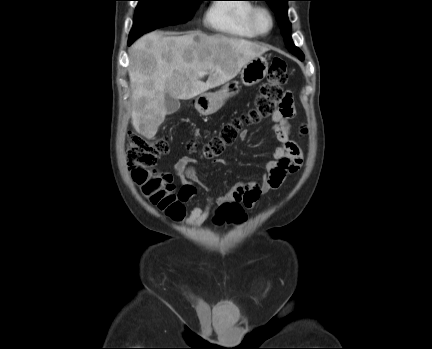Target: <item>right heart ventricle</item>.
<instances>
[{
  "label": "right heart ventricle",
  "instance_id": "right-heart-ventricle-1",
  "mask_svg": "<svg viewBox=\"0 0 432 349\" xmlns=\"http://www.w3.org/2000/svg\"><path fill=\"white\" fill-rule=\"evenodd\" d=\"M253 7L249 0H217L209 6L205 22L214 31L229 37L254 39L257 35L249 24Z\"/></svg>",
  "mask_w": 432,
  "mask_h": 349
}]
</instances>
